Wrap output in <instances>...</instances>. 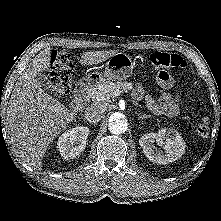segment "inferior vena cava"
<instances>
[{"mask_svg": "<svg viewBox=\"0 0 221 221\" xmlns=\"http://www.w3.org/2000/svg\"><path fill=\"white\" fill-rule=\"evenodd\" d=\"M106 110L107 107L105 104L90 105L85 110V119L90 123L99 122L103 118Z\"/></svg>", "mask_w": 221, "mask_h": 221, "instance_id": "obj_1", "label": "inferior vena cava"}]
</instances>
